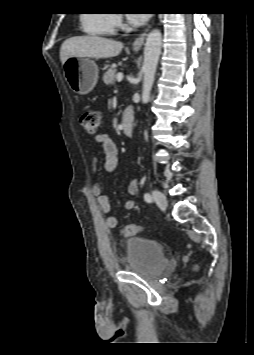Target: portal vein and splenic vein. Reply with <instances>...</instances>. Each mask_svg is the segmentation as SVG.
<instances>
[{
	"mask_svg": "<svg viewBox=\"0 0 254 355\" xmlns=\"http://www.w3.org/2000/svg\"><path fill=\"white\" fill-rule=\"evenodd\" d=\"M116 79L118 82H121L123 80V73H118Z\"/></svg>",
	"mask_w": 254,
	"mask_h": 355,
	"instance_id": "obj_1",
	"label": "portal vein and splenic vein"
}]
</instances>
